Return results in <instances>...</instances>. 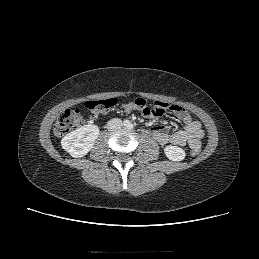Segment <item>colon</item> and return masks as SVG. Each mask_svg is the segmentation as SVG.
Listing matches in <instances>:
<instances>
[{
  "instance_id": "5ec220e1",
  "label": "colon",
  "mask_w": 259,
  "mask_h": 259,
  "mask_svg": "<svg viewBox=\"0 0 259 259\" xmlns=\"http://www.w3.org/2000/svg\"><path fill=\"white\" fill-rule=\"evenodd\" d=\"M117 101L114 98L93 100L85 103V107L90 112L92 119H98L106 115L115 105ZM124 110L129 112L131 110H137L142 115L147 117H161L167 109H171L172 106L163 102H155L153 105L147 103L143 98H137L133 102L127 103L123 106ZM84 118L79 111L67 110L57 120L54 133L57 137H63L70 131L80 127L84 123ZM200 153L198 148L191 150V155L196 157Z\"/></svg>"
}]
</instances>
